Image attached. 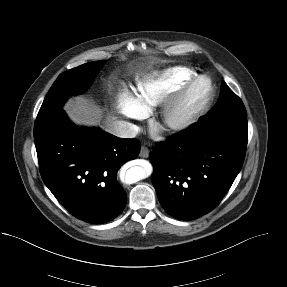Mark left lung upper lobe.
Masks as SVG:
<instances>
[{
  "label": "left lung upper lobe",
  "mask_w": 287,
  "mask_h": 287,
  "mask_svg": "<svg viewBox=\"0 0 287 287\" xmlns=\"http://www.w3.org/2000/svg\"><path fill=\"white\" fill-rule=\"evenodd\" d=\"M200 119L215 129L247 133V113L244 104L225 82H222L220 98L216 105Z\"/></svg>",
  "instance_id": "1"
}]
</instances>
